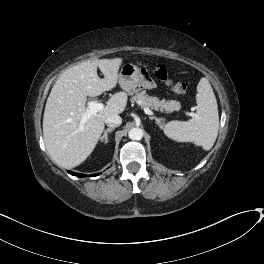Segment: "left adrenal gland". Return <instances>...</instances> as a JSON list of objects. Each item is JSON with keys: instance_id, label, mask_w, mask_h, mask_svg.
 Returning <instances> with one entry per match:
<instances>
[{"instance_id": "1", "label": "left adrenal gland", "mask_w": 264, "mask_h": 264, "mask_svg": "<svg viewBox=\"0 0 264 264\" xmlns=\"http://www.w3.org/2000/svg\"><path fill=\"white\" fill-rule=\"evenodd\" d=\"M151 120H155V122H156V124H158L160 127H162L161 126V124H162V118H157V117H155V116H152V117H149Z\"/></svg>"}]
</instances>
